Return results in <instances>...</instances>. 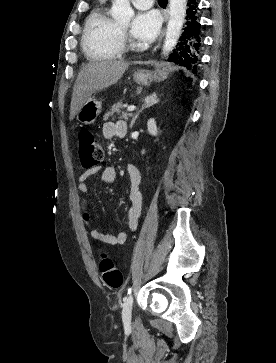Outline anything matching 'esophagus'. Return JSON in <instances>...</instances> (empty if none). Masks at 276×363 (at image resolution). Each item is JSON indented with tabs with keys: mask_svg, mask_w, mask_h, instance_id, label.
Returning a JSON list of instances; mask_svg holds the SVG:
<instances>
[{
	"mask_svg": "<svg viewBox=\"0 0 276 363\" xmlns=\"http://www.w3.org/2000/svg\"><path fill=\"white\" fill-rule=\"evenodd\" d=\"M161 39H162V36L160 37V41H161ZM160 41H159V43H158V45L153 49V51H156L157 50V48L159 47V45H160Z\"/></svg>",
	"mask_w": 276,
	"mask_h": 363,
	"instance_id": "34e87169",
	"label": "esophagus"
}]
</instances>
